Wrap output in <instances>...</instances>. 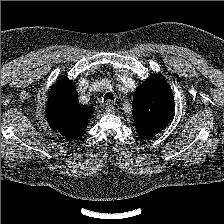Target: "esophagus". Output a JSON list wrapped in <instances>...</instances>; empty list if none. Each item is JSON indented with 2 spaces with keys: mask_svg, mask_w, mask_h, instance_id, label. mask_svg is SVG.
I'll list each match as a JSON object with an SVG mask.
<instances>
[{
  "mask_svg": "<svg viewBox=\"0 0 224 224\" xmlns=\"http://www.w3.org/2000/svg\"><path fill=\"white\" fill-rule=\"evenodd\" d=\"M105 111L107 113H114L115 107L113 105V102L111 100H108L105 104Z\"/></svg>",
  "mask_w": 224,
  "mask_h": 224,
  "instance_id": "34e87169",
  "label": "esophagus"
}]
</instances>
